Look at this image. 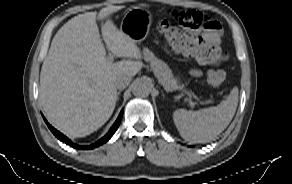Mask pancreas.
<instances>
[{"label":"pancreas","instance_id":"pancreas-1","mask_svg":"<svg viewBox=\"0 0 292 184\" xmlns=\"http://www.w3.org/2000/svg\"><path fill=\"white\" fill-rule=\"evenodd\" d=\"M143 55L145 61L150 63V66L158 78L159 82L166 89H180L181 86L178 84L177 80L174 78L171 69L162 60L155 57V55L147 48L143 50Z\"/></svg>","mask_w":292,"mask_h":184}]
</instances>
